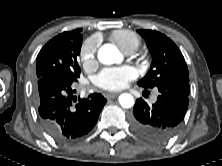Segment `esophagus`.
Segmentation results:
<instances>
[{"label": "esophagus", "mask_w": 222, "mask_h": 166, "mask_svg": "<svg viewBox=\"0 0 222 166\" xmlns=\"http://www.w3.org/2000/svg\"><path fill=\"white\" fill-rule=\"evenodd\" d=\"M119 94H120L119 92L109 93V94H107L106 96H107V98H114V97L118 96Z\"/></svg>", "instance_id": "obj_1"}]
</instances>
